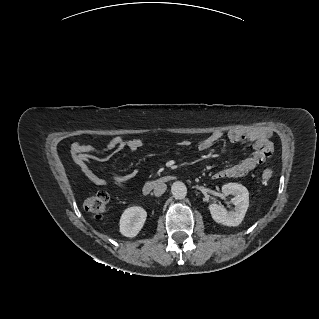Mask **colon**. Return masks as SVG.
Listing matches in <instances>:
<instances>
[{
  "instance_id": "colon-1",
  "label": "colon",
  "mask_w": 319,
  "mask_h": 319,
  "mask_svg": "<svg viewBox=\"0 0 319 319\" xmlns=\"http://www.w3.org/2000/svg\"><path fill=\"white\" fill-rule=\"evenodd\" d=\"M262 150L264 153L269 156L272 152V145L269 141H265L262 146ZM262 179L263 181H270L273 176L274 172L272 169L266 168L262 171ZM109 193L106 191H100L97 192L96 194L88 197L85 202H84V209L95 216L96 218H101L105 215L107 208H108V203H109Z\"/></svg>"
}]
</instances>
